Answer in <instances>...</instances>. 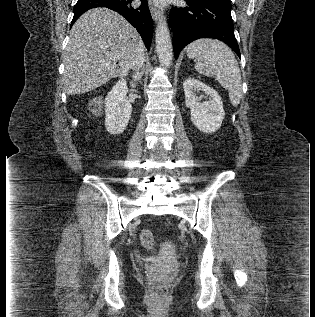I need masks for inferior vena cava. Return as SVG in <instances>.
Returning a JSON list of instances; mask_svg holds the SVG:
<instances>
[{
    "label": "inferior vena cava",
    "mask_w": 315,
    "mask_h": 317,
    "mask_svg": "<svg viewBox=\"0 0 315 317\" xmlns=\"http://www.w3.org/2000/svg\"><path fill=\"white\" fill-rule=\"evenodd\" d=\"M144 63V55L143 54H137L132 62V69L136 72H139V70L142 68Z\"/></svg>",
    "instance_id": "1"
}]
</instances>
